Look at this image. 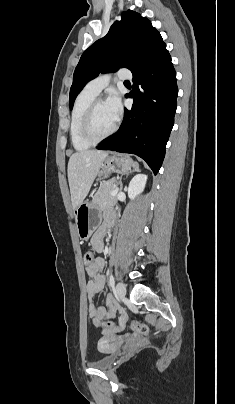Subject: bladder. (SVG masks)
<instances>
[{
    "instance_id": "bladder-1",
    "label": "bladder",
    "mask_w": 235,
    "mask_h": 404,
    "mask_svg": "<svg viewBox=\"0 0 235 404\" xmlns=\"http://www.w3.org/2000/svg\"><path fill=\"white\" fill-rule=\"evenodd\" d=\"M99 349L101 352L107 353V354H105L98 360L90 363V365L92 367L100 369V370H107V369L111 368L114 365V363L116 362V360L118 358V351H117V349L108 350L102 346H99Z\"/></svg>"
}]
</instances>
